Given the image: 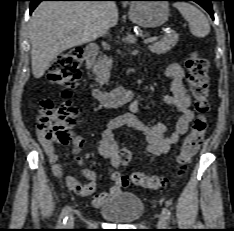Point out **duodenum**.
Instances as JSON below:
<instances>
[{"mask_svg": "<svg viewBox=\"0 0 234 231\" xmlns=\"http://www.w3.org/2000/svg\"><path fill=\"white\" fill-rule=\"evenodd\" d=\"M99 53V47L95 43L86 46L83 59L90 67ZM134 96L132 87H119L110 91H96L95 97L104 108H116L130 101Z\"/></svg>", "mask_w": 234, "mask_h": 231, "instance_id": "410a0bca", "label": "duodenum"}]
</instances>
